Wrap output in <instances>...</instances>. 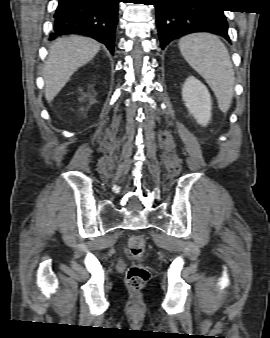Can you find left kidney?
<instances>
[{
    "label": "left kidney",
    "instance_id": "left-kidney-1",
    "mask_svg": "<svg viewBox=\"0 0 270 338\" xmlns=\"http://www.w3.org/2000/svg\"><path fill=\"white\" fill-rule=\"evenodd\" d=\"M182 99L197 123L206 126L212 116V102L207 87L195 77H188L182 88Z\"/></svg>",
    "mask_w": 270,
    "mask_h": 338
}]
</instances>
